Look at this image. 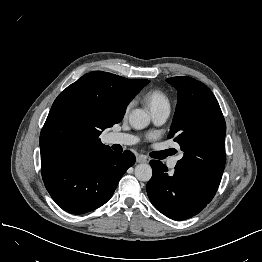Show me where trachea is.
Masks as SVG:
<instances>
[{
	"label": "trachea",
	"mask_w": 262,
	"mask_h": 262,
	"mask_svg": "<svg viewBox=\"0 0 262 262\" xmlns=\"http://www.w3.org/2000/svg\"><path fill=\"white\" fill-rule=\"evenodd\" d=\"M156 154H161V157L158 158V159H163V158H165L166 156L171 155V151H170V150H166V151L161 152V153L155 152V153H153L152 156H153V157H157Z\"/></svg>",
	"instance_id": "obj_1"
}]
</instances>
